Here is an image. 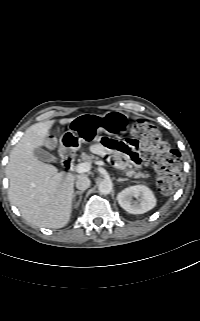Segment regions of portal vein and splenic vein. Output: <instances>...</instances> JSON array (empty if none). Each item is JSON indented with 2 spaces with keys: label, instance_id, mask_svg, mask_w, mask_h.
I'll use <instances>...</instances> for the list:
<instances>
[{
  "label": "portal vein and splenic vein",
  "instance_id": "1",
  "mask_svg": "<svg viewBox=\"0 0 200 321\" xmlns=\"http://www.w3.org/2000/svg\"><path fill=\"white\" fill-rule=\"evenodd\" d=\"M96 164L97 165H106V163L104 161H97ZM75 169H76V172H78V173H84V172H88L91 170V165H90V163H87V162L79 163Z\"/></svg>",
  "mask_w": 200,
  "mask_h": 321
}]
</instances>
